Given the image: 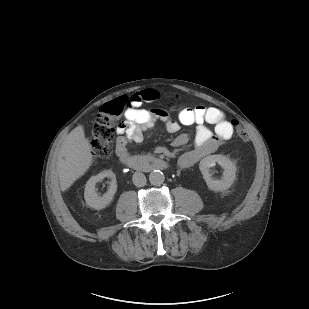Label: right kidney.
Masks as SVG:
<instances>
[{"label":"right kidney","mask_w":309,"mask_h":309,"mask_svg":"<svg viewBox=\"0 0 309 309\" xmlns=\"http://www.w3.org/2000/svg\"><path fill=\"white\" fill-rule=\"evenodd\" d=\"M105 177L111 178V185L107 193L103 196H98L97 192L95 191V185L97 182L103 180ZM117 190L116 178L114 173L111 170H106L98 175L92 176L86 183L85 191H84V198L86 204L94 209L100 210L108 206L114 197V194Z\"/></svg>","instance_id":"ca27d5eb"}]
</instances>
